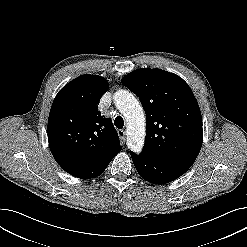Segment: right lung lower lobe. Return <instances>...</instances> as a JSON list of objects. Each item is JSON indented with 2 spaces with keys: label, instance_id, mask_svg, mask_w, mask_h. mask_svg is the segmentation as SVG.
Segmentation results:
<instances>
[{
  "label": "right lung lower lobe",
  "instance_id": "right-lung-lower-lobe-1",
  "mask_svg": "<svg viewBox=\"0 0 247 247\" xmlns=\"http://www.w3.org/2000/svg\"><path fill=\"white\" fill-rule=\"evenodd\" d=\"M116 155H112L99 163H96L92 166L88 167H62L69 174L81 178V179H89L99 176L106 169L108 164Z\"/></svg>",
  "mask_w": 247,
  "mask_h": 247
}]
</instances>
